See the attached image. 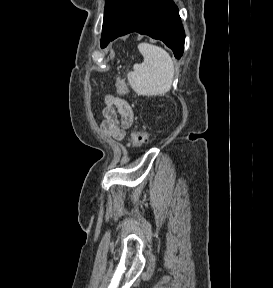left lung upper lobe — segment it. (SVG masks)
I'll list each match as a JSON object with an SVG mask.
<instances>
[{
	"mask_svg": "<svg viewBox=\"0 0 273 288\" xmlns=\"http://www.w3.org/2000/svg\"><path fill=\"white\" fill-rule=\"evenodd\" d=\"M132 0H106L101 46L114 34L118 23Z\"/></svg>",
	"mask_w": 273,
	"mask_h": 288,
	"instance_id": "1",
	"label": "left lung upper lobe"
}]
</instances>
